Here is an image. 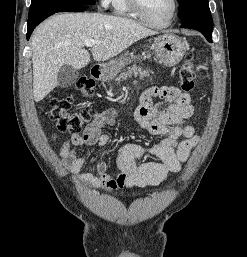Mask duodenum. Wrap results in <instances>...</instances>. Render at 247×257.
Wrapping results in <instances>:
<instances>
[{
  "label": "duodenum",
  "instance_id": "duodenum-1",
  "mask_svg": "<svg viewBox=\"0 0 247 257\" xmlns=\"http://www.w3.org/2000/svg\"><path fill=\"white\" fill-rule=\"evenodd\" d=\"M91 74L96 80H101L103 78V70L100 66H93L91 69Z\"/></svg>",
  "mask_w": 247,
  "mask_h": 257
}]
</instances>
